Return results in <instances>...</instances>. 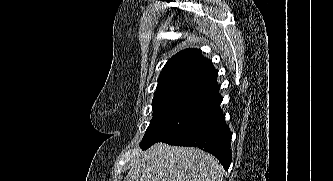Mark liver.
Listing matches in <instances>:
<instances>
[{
  "label": "liver",
  "mask_w": 333,
  "mask_h": 181,
  "mask_svg": "<svg viewBox=\"0 0 333 181\" xmlns=\"http://www.w3.org/2000/svg\"><path fill=\"white\" fill-rule=\"evenodd\" d=\"M223 176L224 169L213 155L160 142L132 161L124 181H223Z\"/></svg>",
  "instance_id": "obj_1"
}]
</instances>
